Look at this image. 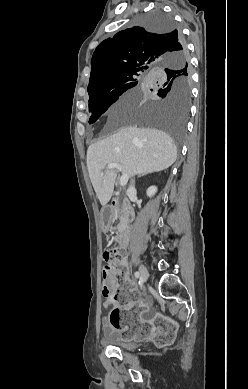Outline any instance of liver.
<instances>
[{
  "label": "liver",
  "instance_id": "obj_1",
  "mask_svg": "<svg viewBox=\"0 0 248 389\" xmlns=\"http://www.w3.org/2000/svg\"><path fill=\"white\" fill-rule=\"evenodd\" d=\"M176 158V146L167 133L128 126L89 146L87 168L97 198L105 206L112 197L117 177V170L108 169V164H120L122 172L131 177L165 170Z\"/></svg>",
  "mask_w": 248,
  "mask_h": 389
}]
</instances>
